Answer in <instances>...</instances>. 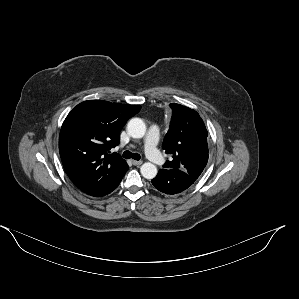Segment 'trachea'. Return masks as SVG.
<instances>
[{"instance_id": "3493384b", "label": "trachea", "mask_w": 299, "mask_h": 299, "mask_svg": "<svg viewBox=\"0 0 299 299\" xmlns=\"http://www.w3.org/2000/svg\"><path fill=\"white\" fill-rule=\"evenodd\" d=\"M123 158H126V159L132 158L134 160H140V155L138 153H132L130 151H125L123 153Z\"/></svg>"}]
</instances>
